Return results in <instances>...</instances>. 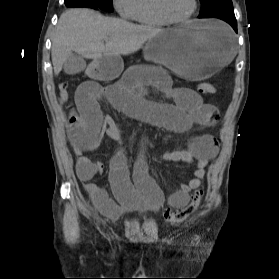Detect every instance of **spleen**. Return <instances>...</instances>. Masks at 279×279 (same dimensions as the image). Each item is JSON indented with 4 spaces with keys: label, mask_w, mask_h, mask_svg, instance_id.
Returning <instances> with one entry per match:
<instances>
[{
    "label": "spleen",
    "mask_w": 279,
    "mask_h": 279,
    "mask_svg": "<svg viewBox=\"0 0 279 279\" xmlns=\"http://www.w3.org/2000/svg\"><path fill=\"white\" fill-rule=\"evenodd\" d=\"M220 29L222 30V31H225V32H227V29L226 28H224V27H220ZM232 35V34H231Z\"/></svg>",
    "instance_id": "1"
}]
</instances>
